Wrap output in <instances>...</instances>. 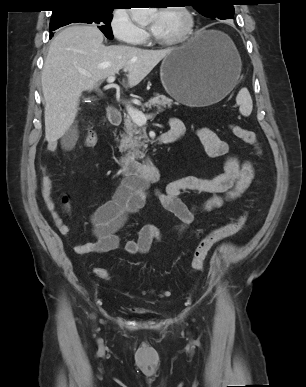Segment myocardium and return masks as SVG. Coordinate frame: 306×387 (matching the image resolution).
<instances>
[{
	"mask_svg": "<svg viewBox=\"0 0 306 387\" xmlns=\"http://www.w3.org/2000/svg\"><path fill=\"white\" fill-rule=\"evenodd\" d=\"M166 9H174L178 10L185 19V25L183 30L181 31L180 34L173 38L169 39H159L157 38L154 34L152 35V39L155 43L159 45H164V46H172V45H177L185 42L192 34L194 26H195V16L193 12L190 10L189 7L183 5V6H168L165 7L161 10H166Z\"/></svg>",
	"mask_w": 306,
	"mask_h": 387,
	"instance_id": "obj_1",
	"label": "myocardium"
}]
</instances>
